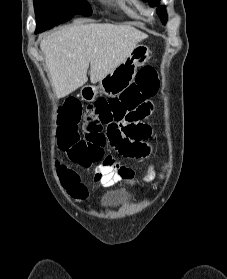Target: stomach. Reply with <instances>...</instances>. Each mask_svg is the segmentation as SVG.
Here are the masks:
<instances>
[{
	"instance_id": "0dacf381",
	"label": "stomach",
	"mask_w": 227,
	"mask_h": 279,
	"mask_svg": "<svg viewBox=\"0 0 227 279\" xmlns=\"http://www.w3.org/2000/svg\"><path fill=\"white\" fill-rule=\"evenodd\" d=\"M150 57L151 50L147 45L136 44L127 58L103 77L97 86L85 85L81 88L82 100L93 101L98 90L107 96L121 94L133 82L137 68L148 62Z\"/></svg>"
}]
</instances>
